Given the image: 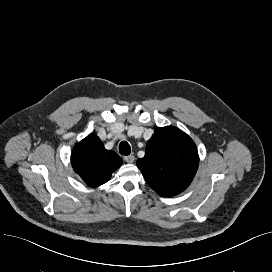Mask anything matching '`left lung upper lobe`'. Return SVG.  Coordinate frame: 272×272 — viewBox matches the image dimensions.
Segmentation results:
<instances>
[{
	"label": "left lung upper lobe",
	"mask_w": 272,
	"mask_h": 272,
	"mask_svg": "<svg viewBox=\"0 0 272 272\" xmlns=\"http://www.w3.org/2000/svg\"><path fill=\"white\" fill-rule=\"evenodd\" d=\"M136 164L159 195L172 197L190 185L199 156L193 140L180 129L158 127L147 143L145 156Z\"/></svg>",
	"instance_id": "1"
}]
</instances>
